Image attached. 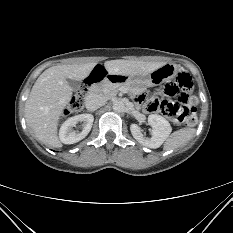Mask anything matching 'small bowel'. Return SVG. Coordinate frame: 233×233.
Masks as SVG:
<instances>
[{
	"label": "small bowel",
	"mask_w": 233,
	"mask_h": 233,
	"mask_svg": "<svg viewBox=\"0 0 233 233\" xmlns=\"http://www.w3.org/2000/svg\"><path fill=\"white\" fill-rule=\"evenodd\" d=\"M153 97L154 96H151V97H149L148 99H146V102H145V106H146V104L148 103V102H150L152 99H153ZM146 109V108H145ZM147 111V110H146Z\"/></svg>",
	"instance_id": "small-bowel-1"
}]
</instances>
